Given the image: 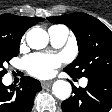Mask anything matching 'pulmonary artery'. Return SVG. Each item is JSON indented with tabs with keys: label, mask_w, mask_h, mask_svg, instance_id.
<instances>
[{
	"label": "pulmonary artery",
	"mask_w": 112,
	"mask_h": 112,
	"mask_svg": "<svg viewBox=\"0 0 112 112\" xmlns=\"http://www.w3.org/2000/svg\"><path fill=\"white\" fill-rule=\"evenodd\" d=\"M48 34L50 37L51 44L54 47H61L65 44L68 38V28L65 26H52L48 30ZM87 84V79H83L81 81V85L85 86Z\"/></svg>",
	"instance_id": "pulmonary-artery-1"
}]
</instances>
